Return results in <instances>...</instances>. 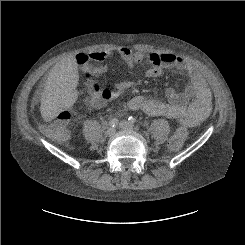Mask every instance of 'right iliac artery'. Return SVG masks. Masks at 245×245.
<instances>
[{
    "label": "right iliac artery",
    "instance_id": "1",
    "mask_svg": "<svg viewBox=\"0 0 245 245\" xmlns=\"http://www.w3.org/2000/svg\"><path fill=\"white\" fill-rule=\"evenodd\" d=\"M118 120L116 119V118H113L110 122H109V125L111 126V127H115V126H117L118 125Z\"/></svg>",
    "mask_w": 245,
    "mask_h": 245
}]
</instances>
